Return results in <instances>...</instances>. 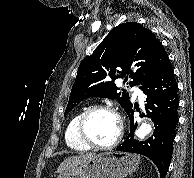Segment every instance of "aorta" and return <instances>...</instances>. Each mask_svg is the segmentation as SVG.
<instances>
[{
    "mask_svg": "<svg viewBox=\"0 0 194 178\" xmlns=\"http://www.w3.org/2000/svg\"><path fill=\"white\" fill-rule=\"evenodd\" d=\"M152 128L147 123H142L141 126L136 130V136L140 139H143L151 132Z\"/></svg>",
    "mask_w": 194,
    "mask_h": 178,
    "instance_id": "aorta-1",
    "label": "aorta"
}]
</instances>
